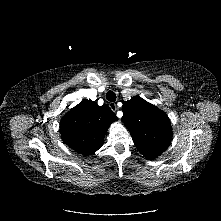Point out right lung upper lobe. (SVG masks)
<instances>
[{
	"mask_svg": "<svg viewBox=\"0 0 221 221\" xmlns=\"http://www.w3.org/2000/svg\"><path fill=\"white\" fill-rule=\"evenodd\" d=\"M117 120L108 106L85 100L62 118L61 137L73 150L87 156L102 146L108 127Z\"/></svg>",
	"mask_w": 221,
	"mask_h": 221,
	"instance_id": "1",
	"label": "right lung upper lobe"
}]
</instances>
